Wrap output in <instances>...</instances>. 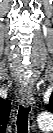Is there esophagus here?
I'll list each match as a JSON object with an SVG mask.
<instances>
[{"instance_id": "obj_1", "label": "esophagus", "mask_w": 53, "mask_h": 133, "mask_svg": "<svg viewBox=\"0 0 53 133\" xmlns=\"http://www.w3.org/2000/svg\"><path fill=\"white\" fill-rule=\"evenodd\" d=\"M20 94H21V103L24 106L26 107L31 106L35 103L31 90H27V89L22 90Z\"/></svg>"}]
</instances>
